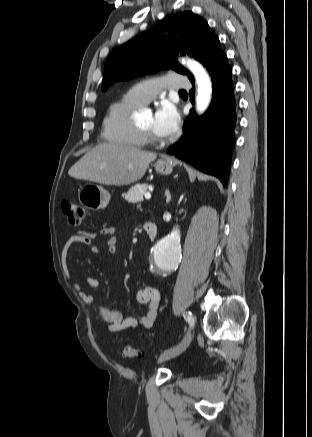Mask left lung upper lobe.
<instances>
[{
	"label": "left lung upper lobe",
	"instance_id": "5c2ea615",
	"mask_svg": "<svg viewBox=\"0 0 312 437\" xmlns=\"http://www.w3.org/2000/svg\"><path fill=\"white\" fill-rule=\"evenodd\" d=\"M220 52L219 39L204 19L190 11L169 15L113 50L105 63L102 90L160 68L175 69L193 81V75L176 62L178 54H188L208 69Z\"/></svg>",
	"mask_w": 312,
	"mask_h": 437
}]
</instances>
